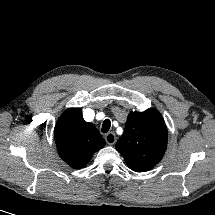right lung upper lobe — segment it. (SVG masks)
I'll use <instances>...</instances> for the list:
<instances>
[{"label": "right lung upper lobe", "mask_w": 215, "mask_h": 215, "mask_svg": "<svg viewBox=\"0 0 215 215\" xmlns=\"http://www.w3.org/2000/svg\"><path fill=\"white\" fill-rule=\"evenodd\" d=\"M54 138L60 157L74 169L84 167L105 145L95 126L83 119L80 108L64 111L55 125Z\"/></svg>", "instance_id": "obj_1"}]
</instances>
